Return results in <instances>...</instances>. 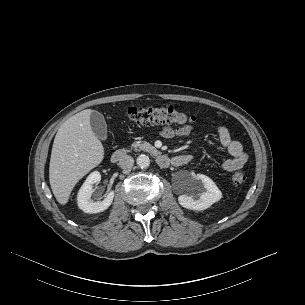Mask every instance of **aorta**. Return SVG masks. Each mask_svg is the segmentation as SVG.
<instances>
[{"mask_svg": "<svg viewBox=\"0 0 305 305\" xmlns=\"http://www.w3.org/2000/svg\"><path fill=\"white\" fill-rule=\"evenodd\" d=\"M137 165L140 167V168H147L149 167L150 165V159L148 156L146 155H140L137 157Z\"/></svg>", "mask_w": 305, "mask_h": 305, "instance_id": "762f6f07", "label": "aorta"}]
</instances>
